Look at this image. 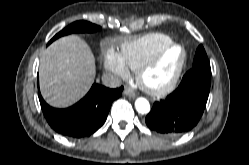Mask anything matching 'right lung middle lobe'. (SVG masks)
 <instances>
[{
	"mask_svg": "<svg viewBox=\"0 0 249 165\" xmlns=\"http://www.w3.org/2000/svg\"><path fill=\"white\" fill-rule=\"evenodd\" d=\"M101 27L97 26L95 24H92L90 22L87 21H76L72 24H70L69 26H67L66 28H64L62 31H60L59 33H57L48 44H50L51 42H53L55 39L64 36V35H68L70 33H74V32H95L100 30Z\"/></svg>",
	"mask_w": 249,
	"mask_h": 165,
	"instance_id": "obj_1",
	"label": "right lung middle lobe"
}]
</instances>
